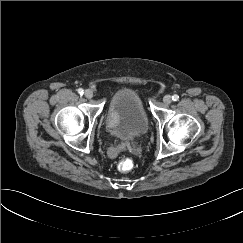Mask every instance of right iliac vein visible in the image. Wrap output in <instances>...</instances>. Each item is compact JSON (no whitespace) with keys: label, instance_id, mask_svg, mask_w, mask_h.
<instances>
[{"label":"right iliac vein","instance_id":"right-iliac-vein-1","mask_svg":"<svg viewBox=\"0 0 243 243\" xmlns=\"http://www.w3.org/2000/svg\"><path fill=\"white\" fill-rule=\"evenodd\" d=\"M84 95H85V97H86L87 99H91V98L93 97V91L90 90V89H87V90L85 91Z\"/></svg>","mask_w":243,"mask_h":243}]
</instances>
